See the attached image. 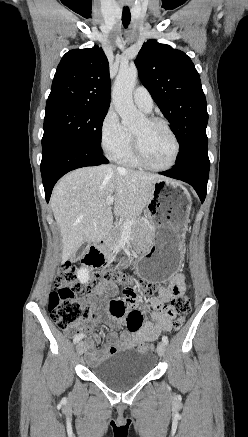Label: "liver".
Instances as JSON below:
<instances>
[{"label":"liver","instance_id":"liver-1","mask_svg":"<svg viewBox=\"0 0 248 437\" xmlns=\"http://www.w3.org/2000/svg\"><path fill=\"white\" fill-rule=\"evenodd\" d=\"M160 180L168 179L112 165L79 168L64 176L50 199L62 236V262L85 242L97 243L107 237L113 225L108 197H114L115 215L136 219Z\"/></svg>","mask_w":248,"mask_h":437}]
</instances>
